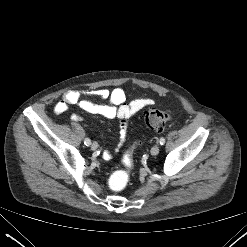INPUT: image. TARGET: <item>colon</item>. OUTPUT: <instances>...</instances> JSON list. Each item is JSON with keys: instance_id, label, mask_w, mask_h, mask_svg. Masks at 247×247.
I'll return each mask as SVG.
<instances>
[{"instance_id": "colon-1", "label": "colon", "mask_w": 247, "mask_h": 247, "mask_svg": "<svg viewBox=\"0 0 247 247\" xmlns=\"http://www.w3.org/2000/svg\"><path fill=\"white\" fill-rule=\"evenodd\" d=\"M172 116L156 108H149L145 115L146 125L157 132H162L171 122ZM123 168L114 171L108 180L109 187L114 191L124 189L130 181L134 161L131 151H127L122 158Z\"/></svg>"}]
</instances>
